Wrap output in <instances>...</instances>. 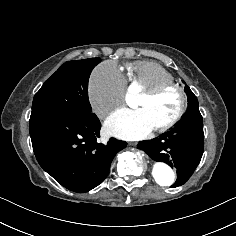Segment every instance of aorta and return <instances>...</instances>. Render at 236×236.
<instances>
[{
    "label": "aorta",
    "instance_id": "obj_1",
    "mask_svg": "<svg viewBox=\"0 0 236 236\" xmlns=\"http://www.w3.org/2000/svg\"><path fill=\"white\" fill-rule=\"evenodd\" d=\"M152 175L160 186H171L175 181V173L172 168L161 161L154 164Z\"/></svg>",
    "mask_w": 236,
    "mask_h": 236
}]
</instances>
